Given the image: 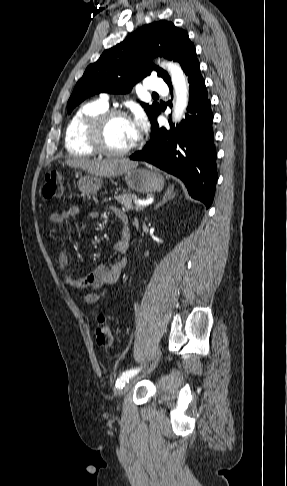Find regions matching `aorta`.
<instances>
[{"mask_svg": "<svg viewBox=\"0 0 287 486\" xmlns=\"http://www.w3.org/2000/svg\"><path fill=\"white\" fill-rule=\"evenodd\" d=\"M163 66L170 72L175 88L176 99L173 107L172 119L176 124L185 117L189 99L188 82L179 64L166 62Z\"/></svg>", "mask_w": 287, "mask_h": 486, "instance_id": "aorta-1", "label": "aorta"}]
</instances>
